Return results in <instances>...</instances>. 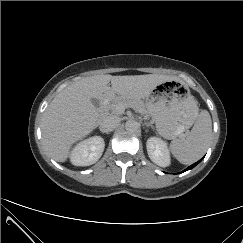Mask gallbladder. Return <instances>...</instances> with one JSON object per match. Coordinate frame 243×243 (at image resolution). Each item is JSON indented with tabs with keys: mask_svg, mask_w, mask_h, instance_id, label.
I'll use <instances>...</instances> for the list:
<instances>
[{
	"mask_svg": "<svg viewBox=\"0 0 243 243\" xmlns=\"http://www.w3.org/2000/svg\"><path fill=\"white\" fill-rule=\"evenodd\" d=\"M91 102L95 107L99 106V101L97 99H92Z\"/></svg>",
	"mask_w": 243,
	"mask_h": 243,
	"instance_id": "obj_1",
	"label": "gallbladder"
}]
</instances>
